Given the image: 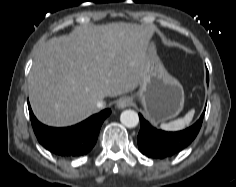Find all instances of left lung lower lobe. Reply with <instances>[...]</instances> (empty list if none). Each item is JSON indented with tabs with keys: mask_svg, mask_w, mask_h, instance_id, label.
I'll return each mask as SVG.
<instances>
[{
	"mask_svg": "<svg viewBox=\"0 0 236 187\" xmlns=\"http://www.w3.org/2000/svg\"><path fill=\"white\" fill-rule=\"evenodd\" d=\"M204 113L205 111L194 125L178 132L158 130L152 127L149 122L139 114L141 127L137 142L140 152L149 158L158 159L171 157L180 152L197 136L203 122Z\"/></svg>",
	"mask_w": 236,
	"mask_h": 187,
	"instance_id": "1",
	"label": "left lung lower lobe"
}]
</instances>
